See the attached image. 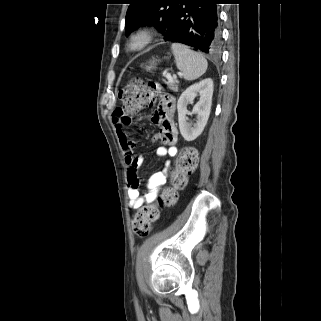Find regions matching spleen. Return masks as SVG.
<instances>
[{
  "label": "spleen",
  "mask_w": 321,
  "mask_h": 321,
  "mask_svg": "<svg viewBox=\"0 0 321 321\" xmlns=\"http://www.w3.org/2000/svg\"><path fill=\"white\" fill-rule=\"evenodd\" d=\"M171 50L176 66L185 80H196L206 72L208 63L202 54L180 43H173Z\"/></svg>",
  "instance_id": "1"
}]
</instances>
